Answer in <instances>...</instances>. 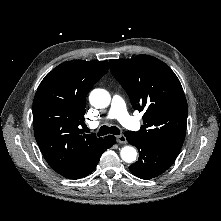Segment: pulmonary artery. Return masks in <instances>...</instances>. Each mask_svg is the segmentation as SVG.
I'll use <instances>...</instances> for the list:
<instances>
[{"label":"pulmonary artery","instance_id":"1","mask_svg":"<svg viewBox=\"0 0 221 221\" xmlns=\"http://www.w3.org/2000/svg\"><path fill=\"white\" fill-rule=\"evenodd\" d=\"M106 119H117L122 125L131 130H139L140 124L127 112L124 100L115 95L112 98L111 107ZM99 122H92L93 126H96Z\"/></svg>","mask_w":221,"mask_h":221}]
</instances>
